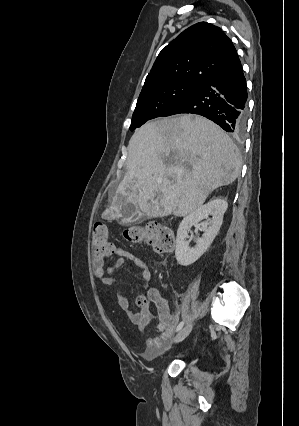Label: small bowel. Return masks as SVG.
Listing matches in <instances>:
<instances>
[{
	"label": "small bowel",
	"mask_w": 299,
	"mask_h": 426,
	"mask_svg": "<svg viewBox=\"0 0 299 426\" xmlns=\"http://www.w3.org/2000/svg\"><path fill=\"white\" fill-rule=\"evenodd\" d=\"M113 254L117 256L115 263L106 267L105 259L95 254L93 257V269L95 277L99 278L104 286H112L116 282L113 275L115 269L121 267L126 261L132 262L140 271L141 277L147 282V300L143 303L140 311H135L130 307L128 297L122 290L116 291V299L119 307L125 313L129 321L134 324L139 332H144L147 328L151 313L150 305L154 304L159 315L158 335L146 341L144 351L141 353L145 359H153L158 356L172 336L174 327L179 319V311L173 315L169 311V306L159 292V290L149 285L152 274L147 263L130 251L114 245Z\"/></svg>",
	"instance_id": "small-bowel-1"
}]
</instances>
